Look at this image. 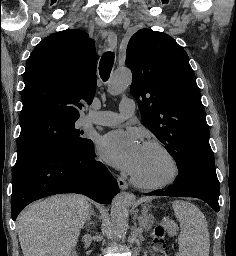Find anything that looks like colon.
<instances>
[{
  "label": "colon",
  "instance_id": "1",
  "mask_svg": "<svg viewBox=\"0 0 236 256\" xmlns=\"http://www.w3.org/2000/svg\"><path fill=\"white\" fill-rule=\"evenodd\" d=\"M153 246L155 248L156 256H165V236L161 229H158L155 232Z\"/></svg>",
  "mask_w": 236,
  "mask_h": 256
}]
</instances>
